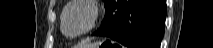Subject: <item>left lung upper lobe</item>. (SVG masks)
<instances>
[{
    "label": "left lung upper lobe",
    "instance_id": "1",
    "mask_svg": "<svg viewBox=\"0 0 213 48\" xmlns=\"http://www.w3.org/2000/svg\"><path fill=\"white\" fill-rule=\"evenodd\" d=\"M105 2V7L108 5L110 0H103Z\"/></svg>",
    "mask_w": 213,
    "mask_h": 48
}]
</instances>
